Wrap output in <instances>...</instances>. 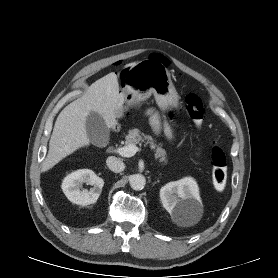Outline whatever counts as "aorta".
I'll list each match as a JSON object with an SVG mask.
<instances>
[{
	"instance_id": "aorta-1",
	"label": "aorta",
	"mask_w": 278,
	"mask_h": 278,
	"mask_svg": "<svg viewBox=\"0 0 278 278\" xmlns=\"http://www.w3.org/2000/svg\"><path fill=\"white\" fill-rule=\"evenodd\" d=\"M130 186L134 190H142L146 184V179L142 174H134L130 177Z\"/></svg>"
}]
</instances>
